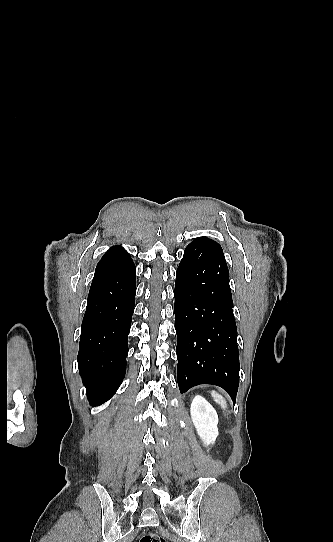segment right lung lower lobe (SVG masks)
<instances>
[{"instance_id":"1","label":"right lung lower lobe","mask_w":333,"mask_h":542,"mask_svg":"<svg viewBox=\"0 0 333 542\" xmlns=\"http://www.w3.org/2000/svg\"><path fill=\"white\" fill-rule=\"evenodd\" d=\"M135 294V265L114 246L97 264L81 326L77 361L93 407L108 401L124 379Z\"/></svg>"}]
</instances>
